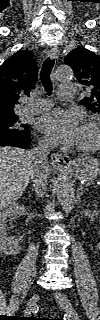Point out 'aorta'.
<instances>
[{
    "label": "aorta",
    "mask_w": 100,
    "mask_h": 320,
    "mask_svg": "<svg viewBox=\"0 0 100 320\" xmlns=\"http://www.w3.org/2000/svg\"><path fill=\"white\" fill-rule=\"evenodd\" d=\"M73 70L69 66H60L56 70V79L60 82H67L73 78ZM56 196L65 211H71L74 204V190L69 178L60 174L56 181Z\"/></svg>",
    "instance_id": "762f6f07"
}]
</instances>
